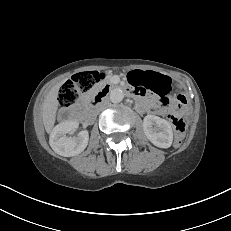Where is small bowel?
Listing matches in <instances>:
<instances>
[{"label": "small bowel", "mask_w": 231, "mask_h": 231, "mask_svg": "<svg viewBox=\"0 0 231 231\" xmlns=\"http://www.w3.org/2000/svg\"><path fill=\"white\" fill-rule=\"evenodd\" d=\"M131 73H136L143 77L142 80L137 83L139 88H136L134 91L141 93L140 89H144L153 94L148 98L146 109H153L159 113L165 111L169 104V100L165 96L168 95L174 88L172 79L167 75L151 70H136ZM175 110L180 112L184 111L182 108Z\"/></svg>", "instance_id": "small-bowel-1"}]
</instances>
